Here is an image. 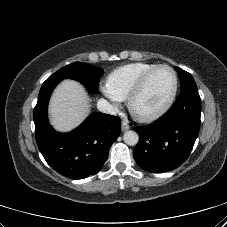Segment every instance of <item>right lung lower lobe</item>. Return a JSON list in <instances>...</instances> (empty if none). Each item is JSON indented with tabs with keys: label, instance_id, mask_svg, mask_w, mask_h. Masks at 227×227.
I'll list each match as a JSON object with an SVG mask.
<instances>
[{
	"label": "right lung lower lobe",
	"instance_id": "98d812e1",
	"mask_svg": "<svg viewBox=\"0 0 227 227\" xmlns=\"http://www.w3.org/2000/svg\"><path fill=\"white\" fill-rule=\"evenodd\" d=\"M59 82H44L34 108L36 142L46 162L61 175L83 179L96 174L105 163L111 145L119 136L117 117L91 114L78 128L58 133L49 124L47 106Z\"/></svg>",
	"mask_w": 227,
	"mask_h": 227
}]
</instances>
